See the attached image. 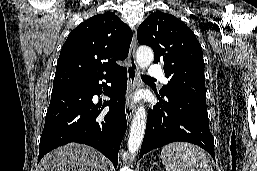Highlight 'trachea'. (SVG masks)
<instances>
[{
    "instance_id": "obj_1",
    "label": "trachea",
    "mask_w": 257,
    "mask_h": 171,
    "mask_svg": "<svg viewBox=\"0 0 257 171\" xmlns=\"http://www.w3.org/2000/svg\"><path fill=\"white\" fill-rule=\"evenodd\" d=\"M142 79H147V80H155L147 75H141Z\"/></svg>"
}]
</instances>
